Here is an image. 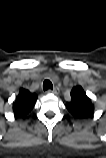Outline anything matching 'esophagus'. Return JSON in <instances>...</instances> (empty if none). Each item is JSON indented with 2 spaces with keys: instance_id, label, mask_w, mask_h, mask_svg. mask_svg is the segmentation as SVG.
Masks as SVG:
<instances>
[{
  "instance_id": "34e87169",
  "label": "esophagus",
  "mask_w": 106,
  "mask_h": 158,
  "mask_svg": "<svg viewBox=\"0 0 106 158\" xmlns=\"http://www.w3.org/2000/svg\"><path fill=\"white\" fill-rule=\"evenodd\" d=\"M48 92L50 93H53L55 95H58L60 93V89L56 86L54 87L52 90H48Z\"/></svg>"
}]
</instances>
